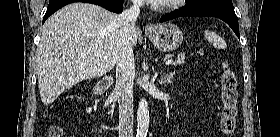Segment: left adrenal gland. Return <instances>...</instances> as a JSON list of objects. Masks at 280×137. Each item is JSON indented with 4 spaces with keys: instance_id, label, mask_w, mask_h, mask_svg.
I'll use <instances>...</instances> for the list:
<instances>
[{
    "instance_id": "left-adrenal-gland-1",
    "label": "left adrenal gland",
    "mask_w": 280,
    "mask_h": 137,
    "mask_svg": "<svg viewBox=\"0 0 280 137\" xmlns=\"http://www.w3.org/2000/svg\"><path fill=\"white\" fill-rule=\"evenodd\" d=\"M174 72H169L165 75H161L160 79H159V83L160 84H169L171 83V79L173 78Z\"/></svg>"
}]
</instances>
